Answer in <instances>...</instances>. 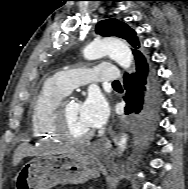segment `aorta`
<instances>
[{"mask_svg": "<svg viewBox=\"0 0 188 189\" xmlns=\"http://www.w3.org/2000/svg\"><path fill=\"white\" fill-rule=\"evenodd\" d=\"M83 54L88 60H95L108 55L125 69L131 66L133 60V55L128 45L122 40L112 37L93 41L85 47ZM127 140L128 137L126 134H123L119 140L118 146L120 155L126 149Z\"/></svg>", "mask_w": 188, "mask_h": 189, "instance_id": "obj_1", "label": "aorta"}]
</instances>
